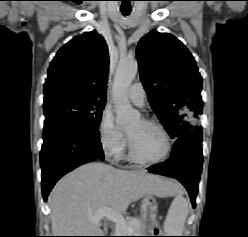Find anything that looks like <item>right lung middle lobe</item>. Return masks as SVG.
<instances>
[{"instance_id":"right-lung-middle-lobe-1","label":"right lung middle lobe","mask_w":248,"mask_h":237,"mask_svg":"<svg viewBox=\"0 0 248 237\" xmlns=\"http://www.w3.org/2000/svg\"><path fill=\"white\" fill-rule=\"evenodd\" d=\"M105 102L59 97L44 102L45 125H59L80 130H98Z\"/></svg>"}]
</instances>
